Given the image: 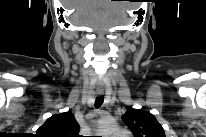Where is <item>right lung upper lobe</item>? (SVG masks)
<instances>
[{"instance_id":"cb5924a9","label":"right lung upper lobe","mask_w":206,"mask_h":137,"mask_svg":"<svg viewBox=\"0 0 206 137\" xmlns=\"http://www.w3.org/2000/svg\"><path fill=\"white\" fill-rule=\"evenodd\" d=\"M79 125L70 111L53 115L38 128V137H77Z\"/></svg>"}]
</instances>
